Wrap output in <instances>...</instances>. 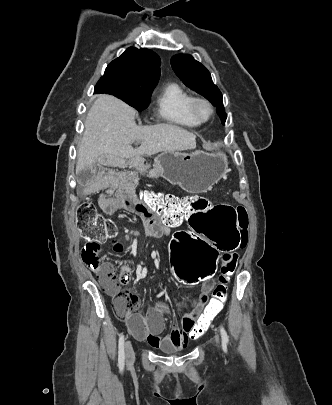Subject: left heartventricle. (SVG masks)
I'll list each match as a JSON object with an SVG mask.
<instances>
[{"mask_svg": "<svg viewBox=\"0 0 332 405\" xmlns=\"http://www.w3.org/2000/svg\"><path fill=\"white\" fill-rule=\"evenodd\" d=\"M197 110L201 117H207L209 114V109L205 104H199Z\"/></svg>", "mask_w": 332, "mask_h": 405, "instance_id": "b2bd125f", "label": "left heart ventricle"}]
</instances>
